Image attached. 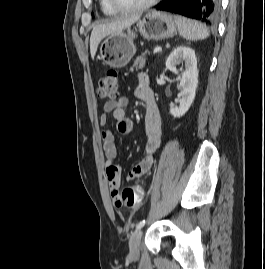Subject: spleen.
<instances>
[{
  "mask_svg": "<svg viewBox=\"0 0 265 269\" xmlns=\"http://www.w3.org/2000/svg\"><path fill=\"white\" fill-rule=\"evenodd\" d=\"M175 22L177 24L179 34L186 40H203L209 36V31L206 26L198 21L176 15Z\"/></svg>",
  "mask_w": 265,
  "mask_h": 269,
  "instance_id": "obj_1",
  "label": "spleen"
}]
</instances>
